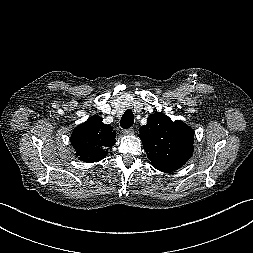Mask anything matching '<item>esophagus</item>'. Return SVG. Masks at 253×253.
I'll return each mask as SVG.
<instances>
[{"label":"esophagus","mask_w":253,"mask_h":253,"mask_svg":"<svg viewBox=\"0 0 253 253\" xmlns=\"http://www.w3.org/2000/svg\"><path fill=\"white\" fill-rule=\"evenodd\" d=\"M122 133H123L124 135H131V134L134 133V129H133V128L124 129V130H122Z\"/></svg>","instance_id":"esophagus-1"}]
</instances>
